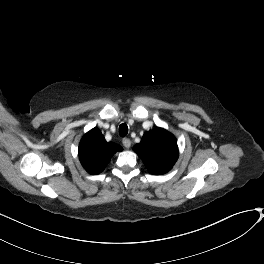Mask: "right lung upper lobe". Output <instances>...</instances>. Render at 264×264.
I'll return each instance as SVG.
<instances>
[{
	"label": "right lung upper lobe",
	"instance_id": "1",
	"mask_svg": "<svg viewBox=\"0 0 264 264\" xmlns=\"http://www.w3.org/2000/svg\"><path fill=\"white\" fill-rule=\"evenodd\" d=\"M122 150L118 144L106 142L97 128H93L83 136L78 149L80 162L90 174H99L112 156Z\"/></svg>",
	"mask_w": 264,
	"mask_h": 264
}]
</instances>
